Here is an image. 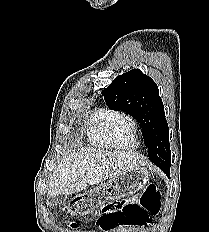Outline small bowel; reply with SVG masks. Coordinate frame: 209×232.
Here are the masks:
<instances>
[{"label": "small bowel", "instance_id": "c3829d8e", "mask_svg": "<svg viewBox=\"0 0 209 232\" xmlns=\"http://www.w3.org/2000/svg\"><path fill=\"white\" fill-rule=\"evenodd\" d=\"M138 226H141V225H138ZM113 227H115V226H112V227H108V228H105V229H109V228H113Z\"/></svg>", "mask_w": 209, "mask_h": 232}]
</instances>
